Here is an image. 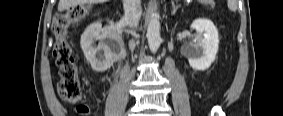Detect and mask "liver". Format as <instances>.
<instances>
[{
    "label": "liver",
    "mask_w": 283,
    "mask_h": 116,
    "mask_svg": "<svg viewBox=\"0 0 283 116\" xmlns=\"http://www.w3.org/2000/svg\"><path fill=\"white\" fill-rule=\"evenodd\" d=\"M88 0H59V4H58V11L62 12L72 6H76L80 3H85ZM90 1H94V0H90ZM105 1V0H102Z\"/></svg>",
    "instance_id": "liver-1"
}]
</instances>
